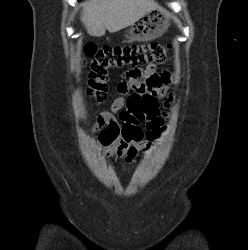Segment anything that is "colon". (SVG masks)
<instances>
[{
  "label": "colon",
  "mask_w": 248,
  "mask_h": 250,
  "mask_svg": "<svg viewBox=\"0 0 248 250\" xmlns=\"http://www.w3.org/2000/svg\"><path fill=\"white\" fill-rule=\"evenodd\" d=\"M168 52V45L160 43L103 47L87 44L84 53L86 57L91 58L89 95L97 102H102L107 96L108 74L111 69L159 64L166 60ZM147 82L162 87L168 82V77L165 74H156ZM127 107L140 121L159 110L157 97L152 93L130 94L127 98Z\"/></svg>",
  "instance_id": "colon-1"
}]
</instances>
